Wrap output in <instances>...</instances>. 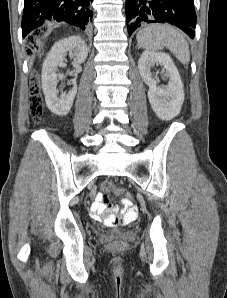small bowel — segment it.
I'll return each instance as SVG.
<instances>
[{"mask_svg":"<svg viewBox=\"0 0 227 298\" xmlns=\"http://www.w3.org/2000/svg\"><path fill=\"white\" fill-rule=\"evenodd\" d=\"M104 197H107V194L105 192L98 193L95 201L91 205V214L95 219H101L103 217L104 213L107 211L106 206L101 203V201ZM124 209H125V216L123 218V221L129 222L135 217L136 209L133 206L126 207L125 205H124ZM113 210H115V209L113 208Z\"/></svg>","mask_w":227,"mask_h":298,"instance_id":"1","label":"small bowel"}]
</instances>
